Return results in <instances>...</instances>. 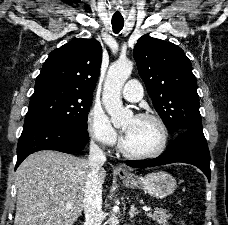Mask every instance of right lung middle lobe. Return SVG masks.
<instances>
[{"instance_id": "obj_1", "label": "right lung middle lobe", "mask_w": 228, "mask_h": 225, "mask_svg": "<svg viewBox=\"0 0 228 225\" xmlns=\"http://www.w3.org/2000/svg\"><path fill=\"white\" fill-rule=\"evenodd\" d=\"M92 97V93L61 84L37 85L30 99L25 122L37 119H57L87 129V117Z\"/></svg>"}]
</instances>
